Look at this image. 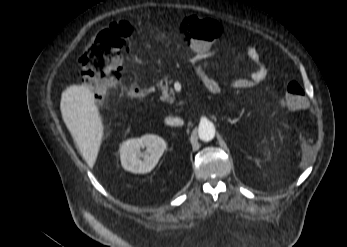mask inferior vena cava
Returning <instances> with one entry per match:
<instances>
[{"label":"inferior vena cava","instance_id":"602c4592","mask_svg":"<svg viewBox=\"0 0 347 247\" xmlns=\"http://www.w3.org/2000/svg\"><path fill=\"white\" fill-rule=\"evenodd\" d=\"M166 121L170 125H182L183 124V120L180 118H167Z\"/></svg>","mask_w":347,"mask_h":247}]
</instances>
